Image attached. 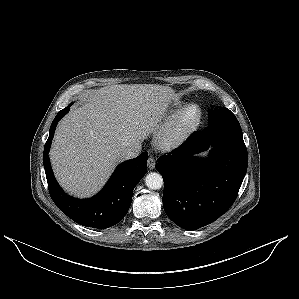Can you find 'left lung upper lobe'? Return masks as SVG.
<instances>
[{
  "instance_id": "1",
  "label": "left lung upper lobe",
  "mask_w": 299,
  "mask_h": 299,
  "mask_svg": "<svg viewBox=\"0 0 299 299\" xmlns=\"http://www.w3.org/2000/svg\"><path fill=\"white\" fill-rule=\"evenodd\" d=\"M229 109H224V108H216V109H211L208 111V118L209 122L214 119L215 117L227 112Z\"/></svg>"
}]
</instances>
